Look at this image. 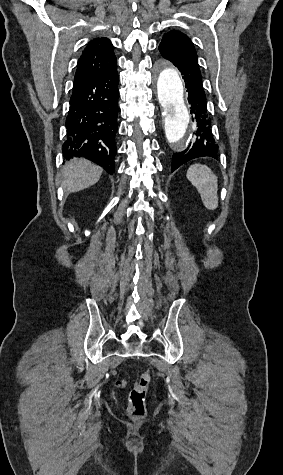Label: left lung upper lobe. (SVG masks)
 <instances>
[{"label": "left lung upper lobe", "mask_w": 283, "mask_h": 475, "mask_svg": "<svg viewBox=\"0 0 283 475\" xmlns=\"http://www.w3.org/2000/svg\"><path fill=\"white\" fill-rule=\"evenodd\" d=\"M161 55L175 66L190 64L199 67L197 53L190 38L180 31L166 33L159 45Z\"/></svg>", "instance_id": "obj_1"}]
</instances>
